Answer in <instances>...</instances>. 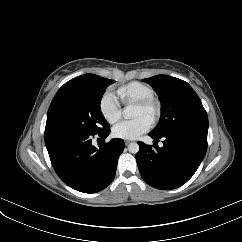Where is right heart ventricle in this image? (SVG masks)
<instances>
[{
    "label": "right heart ventricle",
    "instance_id": "right-heart-ventricle-1",
    "mask_svg": "<svg viewBox=\"0 0 242 242\" xmlns=\"http://www.w3.org/2000/svg\"><path fill=\"white\" fill-rule=\"evenodd\" d=\"M117 96L128 105L152 97L153 91L144 83L130 82L117 89Z\"/></svg>",
    "mask_w": 242,
    "mask_h": 242
}]
</instances>
